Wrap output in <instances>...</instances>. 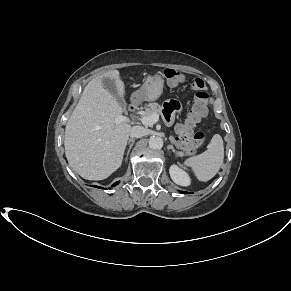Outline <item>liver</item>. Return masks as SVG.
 <instances>
[{"instance_id":"6515ba94","label":"liver","mask_w":291,"mask_h":291,"mask_svg":"<svg viewBox=\"0 0 291 291\" xmlns=\"http://www.w3.org/2000/svg\"><path fill=\"white\" fill-rule=\"evenodd\" d=\"M114 80L124 99L125 85L118 70L93 78L84 88L65 128V154L69 165L84 179L103 180L122 164L131 125L115 123L122 108L104 88L103 79Z\"/></svg>"}]
</instances>
